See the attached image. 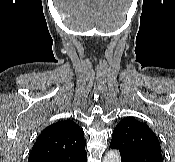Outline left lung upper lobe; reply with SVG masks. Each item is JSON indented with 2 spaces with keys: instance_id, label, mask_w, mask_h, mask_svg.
<instances>
[{
  "instance_id": "5c2ea615",
  "label": "left lung upper lobe",
  "mask_w": 175,
  "mask_h": 162,
  "mask_svg": "<svg viewBox=\"0 0 175 162\" xmlns=\"http://www.w3.org/2000/svg\"><path fill=\"white\" fill-rule=\"evenodd\" d=\"M110 146L124 154H136L144 151L161 153V147L155 133L135 118L122 119L115 127Z\"/></svg>"
}]
</instances>
